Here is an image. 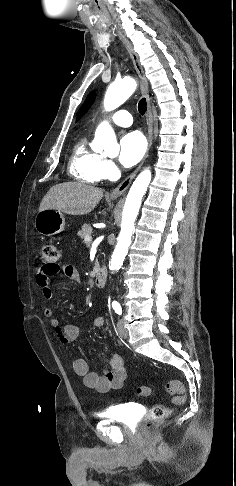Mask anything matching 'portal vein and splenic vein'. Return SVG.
<instances>
[{
  "instance_id": "1",
  "label": "portal vein and splenic vein",
  "mask_w": 236,
  "mask_h": 486,
  "mask_svg": "<svg viewBox=\"0 0 236 486\" xmlns=\"http://www.w3.org/2000/svg\"><path fill=\"white\" fill-rule=\"evenodd\" d=\"M84 241H85L86 243H89V242H91V241H92V237H91V236H89V235H87V236H85Z\"/></svg>"
}]
</instances>
